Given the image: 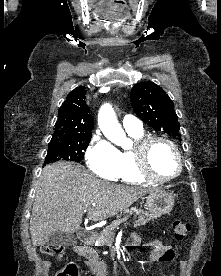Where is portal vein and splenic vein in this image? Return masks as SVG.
Returning <instances> with one entry per match:
<instances>
[{"label": "portal vein and splenic vein", "mask_w": 221, "mask_h": 276, "mask_svg": "<svg viewBox=\"0 0 221 276\" xmlns=\"http://www.w3.org/2000/svg\"><path fill=\"white\" fill-rule=\"evenodd\" d=\"M94 205H95V204L93 203V206H94ZM86 211H87V210H84V212H86ZM127 219H128V217H124V218L120 219V220L118 221V224L127 221Z\"/></svg>", "instance_id": "portal-vein-and-splenic-vein-1"}]
</instances>
